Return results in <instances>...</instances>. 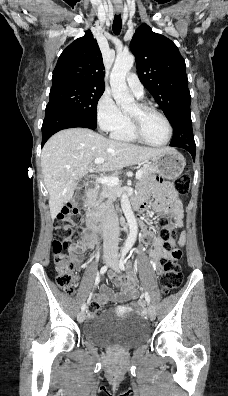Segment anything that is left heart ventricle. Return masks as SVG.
I'll list each match as a JSON object with an SVG mask.
<instances>
[{"instance_id":"left-heart-ventricle-1","label":"left heart ventricle","mask_w":228,"mask_h":396,"mask_svg":"<svg viewBox=\"0 0 228 396\" xmlns=\"http://www.w3.org/2000/svg\"><path fill=\"white\" fill-rule=\"evenodd\" d=\"M129 115L136 118L145 138L152 143H162L166 140L168 131L164 120L153 112L142 113L136 104Z\"/></svg>"}]
</instances>
